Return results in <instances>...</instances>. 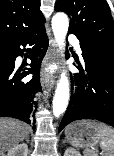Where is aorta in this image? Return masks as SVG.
<instances>
[{
  "label": "aorta",
  "instance_id": "762f6f07",
  "mask_svg": "<svg viewBox=\"0 0 114 156\" xmlns=\"http://www.w3.org/2000/svg\"><path fill=\"white\" fill-rule=\"evenodd\" d=\"M69 20L65 13L58 12L52 18V30L60 50H64ZM69 101V81L65 72L61 74L53 98V114L59 117L67 108Z\"/></svg>",
  "mask_w": 114,
  "mask_h": 156
}]
</instances>
